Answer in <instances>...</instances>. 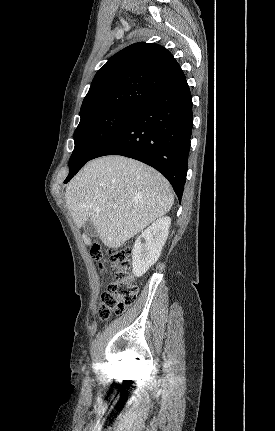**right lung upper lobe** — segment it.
Segmentation results:
<instances>
[{
    "label": "right lung upper lobe",
    "mask_w": 275,
    "mask_h": 431,
    "mask_svg": "<svg viewBox=\"0 0 275 431\" xmlns=\"http://www.w3.org/2000/svg\"><path fill=\"white\" fill-rule=\"evenodd\" d=\"M186 79L172 54L155 43L139 42L119 51L96 73L81 118L119 107L140 108Z\"/></svg>",
    "instance_id": "obj_1"
}]
</instances>
